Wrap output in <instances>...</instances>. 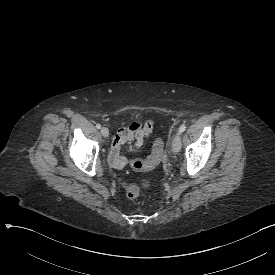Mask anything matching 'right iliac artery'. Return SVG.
Segmentation results:
<instances>
[{"label": "right iliac artery", "instance_id": "1", "mask_svg": "<svg viewBox=\"0 0 275 275\" xmlns=\"http://www.w3.org/2000/svg\"><path fill=\"white\" fill-rule=\"evenodd\" d=\"M96 128H97V129H100V128H101V124L98 123V124L96 125Z\"/></svg>", "mask_w": 275, "mask_h": 275}]
</instances>
